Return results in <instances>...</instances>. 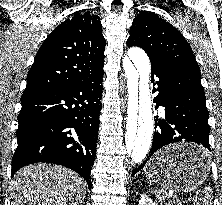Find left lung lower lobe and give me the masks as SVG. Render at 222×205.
<instances>
[{
    "mask_svg": "<svg viewBox=\"0 0 222 205\" xmlns=\"http://www.w3.org/2000/svg\"><path fill=\"white\" fill-rule=\"evenodd\" d=\"M151 81L158 92L156 108L165 107V118L155 120V132L148 158L133 170L137 173L161 147L180 141L196 142L210 150L208 110L200 73L182 64L164 60L151 61ZM179 165L191 166L208 161L206 150L181 151L174 160Z\"/></svg>",
    "mask_w": 222,
    "mask_h": 205,
    "instance_id": "left-lung-lower-lobe-1",
    "label": "left lung lower lobe"
}]
</instances>
